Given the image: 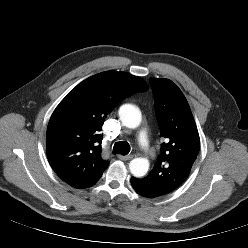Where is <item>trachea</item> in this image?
Listing matches in <instances>:
<instances>
[{
	"label": "trachea",
	"mask_w": 248,
	"mask_h": 248,
	"mask_svg": "<svg viewBox=\"0 0 248 248\" xmlns=\"http://www.w3.org/2000/svg\"><path fill=\"white\" fill-rule=\"evenodd\" d=\"M130 152V146L125 141H119L114 144L113 153L127 155Z\"/></svg>",
	"instance_id": "1"
}]
</instances>
